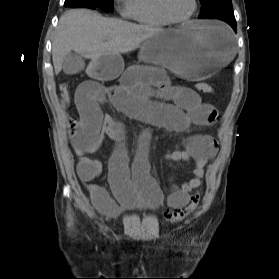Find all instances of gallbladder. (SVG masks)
Returning <instances> with one entry per match:
<instances>
[{
    "label": "gallbladder",
    "instance_id": "obj_1",
    "mask_svg": "<svg viewBox=\"0 0 279 279\" xmlns=\"http://www.w3.org/2000/svg\"><path fill=\"white\" fill-rule=\"evenodd\" d=\"M85 68V62L80 54L75 52L69 53L62 63L63 72L66 75H74Z\"/></svg>",
    "mask_w": 279,
    "mask_h": 279
}]
</instances>
